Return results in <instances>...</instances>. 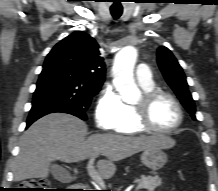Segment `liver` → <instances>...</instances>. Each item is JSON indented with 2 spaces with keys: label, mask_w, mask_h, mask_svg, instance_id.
Masks as SVG:
<instances>
[{
  "label": "liver",
  "mask_w": 218,
  "mask_h": 191,
  "mask_svg": "<svg viewBox=\"0 0 218 191\" xmlns=\"http://www.w3.org/2000/svg\"><path fill=\"white\" fill-rule=\"evenodd\" d=\"M87 125L69 114H49L23 134L20 152L15 160L14 180L45 178L51 162H79L99 154L107 159L99 160L100 175L111 178L116 166L114 161L125 159L148 148L169 149L175 141L162 134L154 136H123L118 134H93L86 139Z\"/></svg>",
  "instance_id": "1"
}]
</instances>
